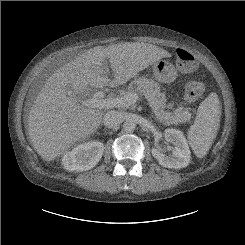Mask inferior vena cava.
Segmentation results:
<instances>
[{
	"label": "inferior vena cava",
	"instance_id": "obj_1",
	"mask_svg": "<svg viewBox=\"0 0 245 245\" xmlns=\"http://www.w3.org/2000/svg\"><path fill=\"white\" fill-rule=\"evenodd\" d=\"M123 118L120 112L111 110L108 111L103 118L104 126L108 128H114L122 123Z\"/></svg>",
	"mask_w": 245,
	"mask_h": 245
}]
</instances>
